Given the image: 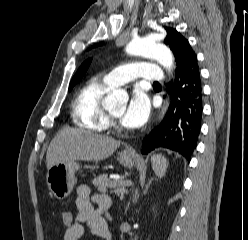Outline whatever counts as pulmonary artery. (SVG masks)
<instances>
[{"label":"pulmonary artery","instance_id":"1","mask_svg":"<svg viewBox=\"0 0 248 240\" xmlns=\"http://www.w3.org/2000/svg\"><path fill=\"white\" fill-rule=\"evenodd\" d=\"M134 79L161 82L164 76L157 65L138 61L116 67L104 76V80L111 86L123 85Z\"/></svg>","mask_w":248,"mask_h":240}]
</instances>
